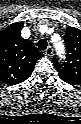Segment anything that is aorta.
Returning <instances> with one entry per match:
<instances>
[{
	"label": "aorta",
	"instance_id": "762f6f07",
	"mask_svg": "<svg viewBox=\"0 0 81 124\" xmlns=\"http://www.w3.org/2000/svg\"><path fill=\"white\" fill-rule=\"evenodd\" d=\"M55 43V49H56V51H57V54L59 55V56H63V54H64V45H63V43L62 42H59V41H54Z\"/></svg>",
	"mask_w": 81,
	"mask_h": 124
}]
</instances>
